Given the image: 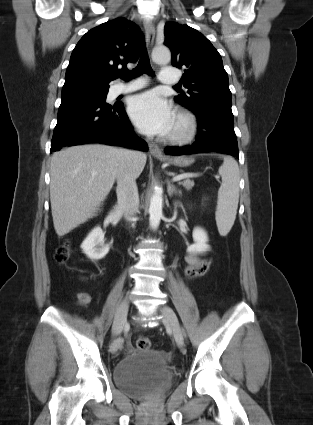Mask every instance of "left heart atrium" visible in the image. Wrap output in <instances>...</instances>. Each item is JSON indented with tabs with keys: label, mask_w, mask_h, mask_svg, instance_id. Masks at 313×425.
<instances>
[{
	"label": "left heart atrium",
	"mask_w": 313,
	"mask_h": 425,
	"mask_svg": "<svg viewBox=\"0 0 313 425\" xmlns=\"http://www.w3.org/2000/svg\"><path fill=\"white\" fill-rule=\"evenodd\" d=\"M128 113L137 128L150 135L168 134L175 122L171 105L154 91L134 96Z\"/></svg>",
	"instance_id": "39dd6f15"
}]
</instances>
